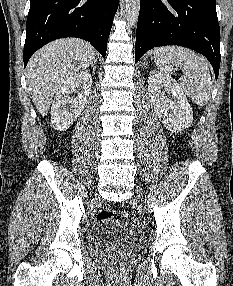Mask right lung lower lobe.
Segmentation results:
<instances>
[{
  "mask_svg": "<svg viewBox=\"0 0 233 286\" xmlns=\"http://www.w3.org/2000/svg\"><path fill=\"white\" fill-rule=\"evenodd\" d=\"M118 4L119 0H31L24 67L36 50L63 37L82 38L104 57Z\"/></svg>",
  "mask_w": 233,
  "mask_h": 286,
  "instance_id": "obj_1",
  "label": "right lung lower lobe"
}]
</instances>
